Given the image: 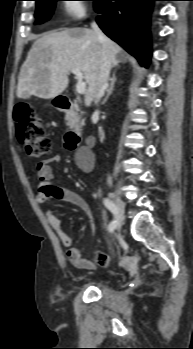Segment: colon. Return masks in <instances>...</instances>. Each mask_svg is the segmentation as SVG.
<instances>
[{"label":"colon","instance_id":"1","mask_svg":"<svg viewBox=\"0 0 193 349\" xmlns=\"http://www.w3.org/2000/svg\"><path fill=\"white\" fill-rule=\"evenodd\" d=\"M14 127L16 138L27 154L41 157L51 150L52 144L45 134L43 123L30 105L15 107Z\"/></svg>","mask_w":193,"mask_h":349}]
</instances>
